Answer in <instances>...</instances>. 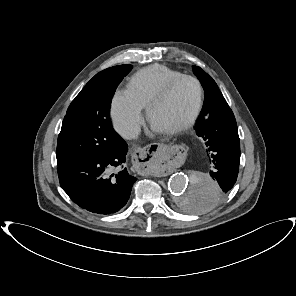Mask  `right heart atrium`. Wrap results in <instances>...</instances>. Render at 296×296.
<instances>
[{
  "label": "right heart atrium",
  "mask_w": 296,
  "mask_h": 296,
  "mask_svg": "<svg viewBox=\"0 0 296 296\" xmlns=\"http://www.w3.org/2000/svg\"><path fill=\"white\" fill-rule=\"evenodd\" d=\"M110 115L115 129L129 139L137 135L143 122L142 107L126 90H117L114 93Z\"/></svg>",
  "instance_id": "d8ad5b80"
}]
</instances>
